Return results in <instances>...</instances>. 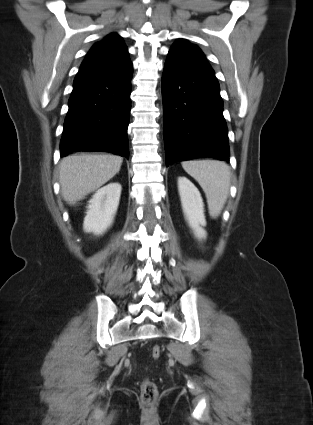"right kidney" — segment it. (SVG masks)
Here are the masks:
<instances>
[{"mask_svg":"<svg viewBox=\"0 0 313 425\" xmlns=\"http://www.w3.org/2000/svg\"><path fill=\"white\" fill-rule=\"evenodd\" d=\"M122 187L110 183L99 189L90 199L84 218L83 229L95 235H102L109 228L116 214Z\"/></svg>","mask_w":313,"mask_h":425,"instance_id":"right-kidney-1","label":"right kidney"}]
</instances>
